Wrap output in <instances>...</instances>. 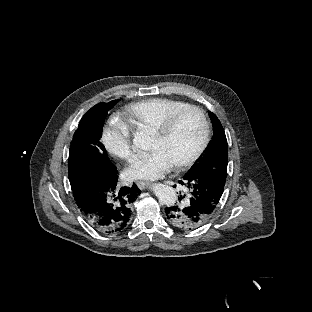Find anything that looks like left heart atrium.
<instances>
[{"label": "left heart atrium", "mask_w": 312, "mask_h": 312, "mask_svg": "<svg viewBox=\"0 0 312 312\" xmlns=\"http://www.w3.org/2000/svg\"><path fill=\"white\" fill-rule=\"evenodd\" d=\"M174 170L172 161L165 157L156 148L147 151L146 156L135 161L128 168V175L133 180L147 181L150 179L165 178Z\"/></svg>", "instance_id": "left-heart-atrium-1"}]
</instances>
